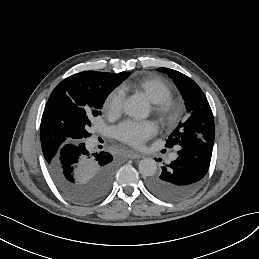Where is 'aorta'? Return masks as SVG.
Instances as JSON below:
<instances>
[{
  "mask_svg": "<svg viewBox=\"0 0 259 259\" xmlns=\"http://www.w3.org/2000/svg\"><path fill=\"white\" fill-rule=\"evenodd\" d=\"M123 109L125 114L135 118H141L147 114L144 101L137 97L126 100ZM138 169L143 177L153 176L157 171V162L152 158H144L139 162Z\"/></svg>",
  "mask_w": 259,
  "mask_h": 259,
  "instance_id": "obj_1",
  "label": "aorta"
}]
</instances>
